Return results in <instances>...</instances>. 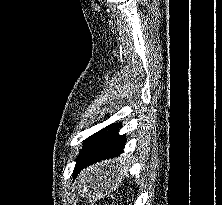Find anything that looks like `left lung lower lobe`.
<instances>
[{
  "mask_svg": "<svg viewBox=\"0 0 222 205\" xmlns=\"http://www.w3.org/2000/svg\"><path fill=\"white\" fill-rule=\"evenodd\" d=\"M121 126V123H113L101 130L91 150L76 163L74 178L82 169L103 160L111 162L123 152L127 139L125 135L118 134Z\"/></svg>",
  "mask_w": 222,
  "mask_h": 205,
  "instance_id": "left-lung-lower-lobe-1",
  "label": "left lung lower lobe"
}]
</instances>
